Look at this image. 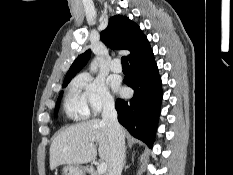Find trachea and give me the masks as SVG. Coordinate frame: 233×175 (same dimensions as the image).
I'll return each instance as SVG.
<instances>
[{
  "label": "trachea",
  "instance_id": "3493384b",
  "mask_svg": "<svg viewBox=\"0 0 233 175\" xmlns=\"http://www.w3.org/2000/svg\"><path fill=\"white\" fill-rule=\"evenodd\" d=\"M121 63L123 67H129L128 58L126 56L121 58Z\"/></svg>",
  "mask_w": 233,
  "mask_h": 175
}]
</instances>
